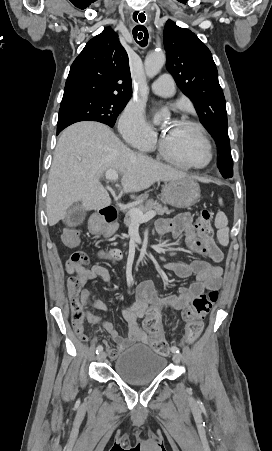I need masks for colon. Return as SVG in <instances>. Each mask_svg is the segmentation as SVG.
Listing matches in <instances>:
<instances>
[{
    "label": "colon",
    "instance_id": "1",
    "mask_svg": "<svg viewBox=\"0 0 272 451\" xmlns=\"http://www.w3.org/2000/svg\"><path fill=\"white\" fill-rule=\"evenodd\" d=\"M211 213L207 209H204L197 218L196 224L201 230L200 237L205 240L204 248L207 250H215L217 246L211 240V235L213 233V228L210 224ZM79 229L75 226H67L64 228L62 233V239L66 244L67 250H79ZM111 257L114 259L121 257V252L115 250L110 252ZM88 255L83 251H74L69 255L68 266L71 267L73 271H78L80 266H84L88 263ZM218 300V292L215 290L209 291L196 297L191 305L183 310V317L188 323V336H197L202 329V320L204 315L207 314L212 306ZM74 324L75 329L79 337L86 340L83 328L80 324L81 313L74 312ZM152 348L158 355L168 354L169 339L164 338H154L152 339Z\"/></svg>",
    "mask_w": 272,
    "mask_h": 451
}]
</instances>
